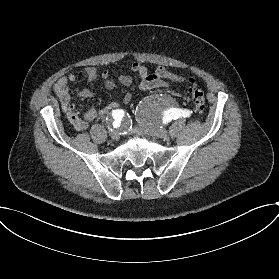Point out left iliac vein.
<instances>
[{"mask_svg": "<svg viewBox=\"0 0 279 279\" xmlns=\"http://www.w3.org/2000/svg\"><path fill=\"white\" fill-rule=\"evenodd\" d=\"M148 132L152 136H155V137H158V138H168L169 137L168 131L166 129L162 128V127H159V126L149 128Z\"/></svg>", "mask_w": 279, "mask_h": 279, "instance_id": "left-iliac-vein-1", "label": "left iliac vein"}]
</instances>
